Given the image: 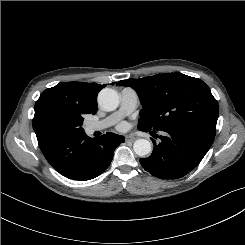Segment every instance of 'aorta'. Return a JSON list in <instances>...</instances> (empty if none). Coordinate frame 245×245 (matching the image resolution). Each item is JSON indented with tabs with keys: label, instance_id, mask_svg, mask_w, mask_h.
I'll use <instances>...</instances> for the list:
<instances>
[{
	"label": "aorta",
	"instance_id": "1",
	"mask_svg": "<svg viewBox=\"0 0 245 245\" xmlns=\"http://www.w3.org/2000/svg\"><path fill=\"white\" fill-rule=\"evenodd\" d=\"M98 103L104 110L113 111L119 105V96L114 89L104 88L98 94ZM133 149L138 156L144 157L151 152L152 147L148 140L138 139L134 142Z\"/></svg>",
	"mask_w": 245,
	"mask_h": 245
}]
</instances>
